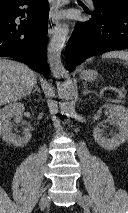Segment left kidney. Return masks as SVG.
<instances>
[{"label":"left kidney","mask_w":128,"mask_h":213,"mask_svg":"<svg viewBox=\"0 0 128 213\" xmlns=\"http://www.w3.org/2000/svg\"><path fill=\"white\" fill-rule=\"evenodd\" d=\"M103 107L109 109L110 122L118 127V133L107 138L102 135V130L96 127L93 130V136L102 148L114 150L128 140V109L124 106L110 104H105Z\"/></svg>","instance_id":"obj_1"}]
</instances>
